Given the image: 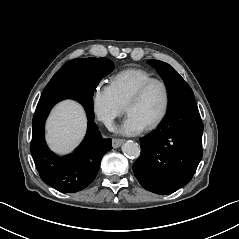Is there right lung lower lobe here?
I'll return each mask as SVG.
<instances>
[{"mask_svg": "<svg viewBox=\"0 0 239 239\" xmlns=\"http://www.w3.org/2000/svg\"><path fill=\"white\" fill-rule=\"evenodd\" d=\"M81 82L84 88L48 96L38 102L33 120L30 151L41 179L63 193H74L86 188L96 177L103 155L112 149L111 139H104L94 123L93 93L100 80L90 73ZM80 102L88 117L87 134L80 146L70 155L56 156L46 145L44 126L51 108L63 99Z\"/></svg>", "mask_w": 239, "mask_h": 239, "instance_id": "98d812e1", "label": "right lung lower lobe"}]
</instances>
